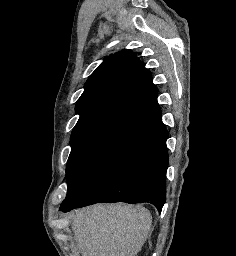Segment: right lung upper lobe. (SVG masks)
<instances>
[{
  "label": "right lung upper lobe",
  "instance_id": "obj_1",
  "mask_svg": "<svg viewBox=\"0 0 236 256\" xmlns=\"http://www.w3.org/2000/svg\"><path fill=\"white\" fill-rule=\"evenodd\" d=\"M76 104L77 124L125 115L151 124L161 121L157 91L144 63L131 50L110 55L91 74Z\"/></svg>",
  "mask_w": 236,
  "mask_h": 256
}]
</instances>
